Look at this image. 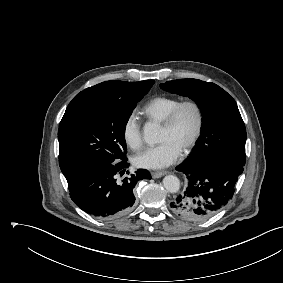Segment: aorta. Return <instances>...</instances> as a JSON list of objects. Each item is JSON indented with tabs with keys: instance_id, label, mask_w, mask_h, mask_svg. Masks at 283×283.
<instances>
[{
	"instance_id": "1",
	"label": "aorta",
	"mask_w": 283,
	"mask_h": 283,
	"mask_svg": "<svg viewBox=\"0 0 283 283\" xmlns=\"http://www.w3.org/2000/svg\"><path fill=\"white\" fill-rule=\"evenodd\" d=\"M160 130L155 123H147L143 129V138L146 143L153 145L159 142ZM165 189L170 193H176L180 189V180L174 175H167L163 179Z\"/></svg>"
}]
</instances>
